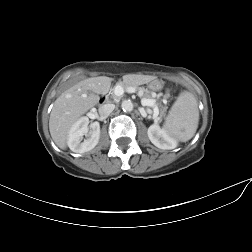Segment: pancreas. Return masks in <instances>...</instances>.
Segmentation results:
<instances>
[{
	"instance_id": "pancreas-1",
	"label": "pancreas",
	"mask_w": 252,
	"mask_h": 252,
	"mask_svg": "<svg viewBox=\"0 0 252 252\" xmlns=\"http://www.w3.org/2000/svg\"><path fill=\"white\" fill-rule=\"evenodd\" d=\"M111 95L115 101H118L120 99V97L115 94L114 90L111 91Z\"/></svg>"
}]
</instances>
